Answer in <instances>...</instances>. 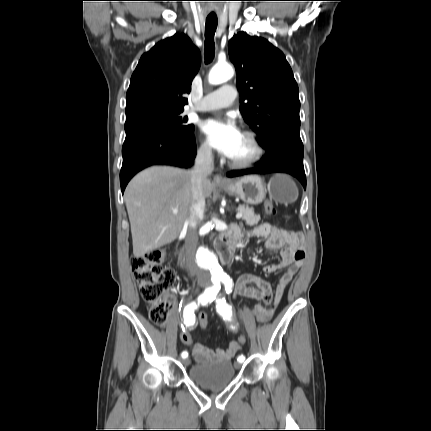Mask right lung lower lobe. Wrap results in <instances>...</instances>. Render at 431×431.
<instances>
[{"instance_id": "right-lung-lower-lobe-1", "label": "right lung lower lobe", "mask_w": 431, "mask_h": 431, "mask_svg": "<svg viewBox=\"0 0 431 431\" xmlns=\"http://www.w3.org/2000/svg\"><path fill=\"white\" fill-rule=\"evenodd\" d=\"M122 156L120 184L123 193L129 180L149 166H192L196 156L194 134L173 132L162 127L141 129L126 134Z\"/></svg>"}]
</instances>
